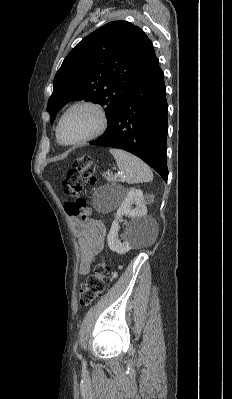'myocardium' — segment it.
Listing matches in <instances>:
<instances>
[{"mask_svg": "<svg viewBox=\"0 0 232 399\" xmlns=\"http://www.w3.org/2000/svg\"><path fill=\"white\" fill-rule=\"evenodd\" d=\"M77 107H89V108L93 109L97 113V116H98V125H97L96 129L90 135H88L80 140L68 141L62 135L61 126H62V123H63L65 117L67 116V114L71 110H73L74 108H77ZM108 123H109L108 115H107L105 108L102 105L95 103V102H90V101H81V102L72 104L64 111V113L62 114V116L60 117V119L58 121V124L56 127V135H57L58 140L64 145H68V146L80 145V144H83L85 142H88L90 140H93V139L101 136L106 131V129L108 127Z\"/></svg>", "mask_w": 232, "mask_h": 399, "instance_id": "myocardium-1", "label": "myocardium"}]
</instances>
